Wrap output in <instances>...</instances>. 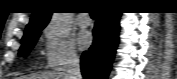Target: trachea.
<instances>
[{
    "label": "trachea",
    "mask_w": 177,
    "mask_h": 79,
    "mask_svg": "<svg viewBox=\"0 0 177 79\" xmlns=\"http://www.w3.org/2000/svg\"><path fill=\"white\" fill-rule=\"evenodd\" d=\"M96 16H97L96 12L91 13L92 18H96Z\"/></svg>",
    "instance_id": "trachea-1"
}]
</instances>
